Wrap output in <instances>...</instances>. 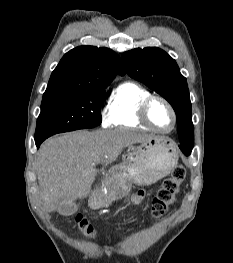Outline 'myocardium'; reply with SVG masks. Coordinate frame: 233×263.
Instances as JSON below:
<instances>
[{"instance_id": "obj_1", "label": "myocardium", "mask_w": 233, "mask_h": 263, "mask_svg": "<svg viewBox=\"0 0 233 263\" xmlns=\"http://www.w3.org/2000/svg\"><path fill=\"white\" fill-rule=\"evenodd\" d=\"M154 101L163 102L172 115V126L168 130H161V129L157 128L156 126L153 125V123L151 122V120L149 118V108ZM138 117H139V120L146 127H148L149 129H151L157 133H161V134H168V133L172 132L174 130V128L176 127V124H177V114H176L172 104L166 98H164L160 95H150L147 98H145L139 106Z\"/></svg>"}]
</instances>
